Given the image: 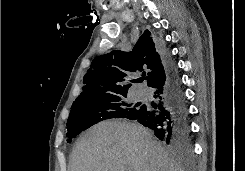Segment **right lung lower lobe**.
Here are the masks:
<instances>
[{"mask_svg":"<svg viewBox=\"0 0 245 171\" xmlns=\"http://www.w3.org/2000/svg\"><path fill=\"white\" fill-rule=\"evenodd\" d=\"M165 75L152 84L156 103L141 106L138 121L153 130L155 136L172 147H187L190 139L188 108L175 61L164 46H158Z\"/></svg>","mask_w":245,"mask_h":171,"instance_id":"98d812e1","label":"right lung lower lobe"}]
</instances>
